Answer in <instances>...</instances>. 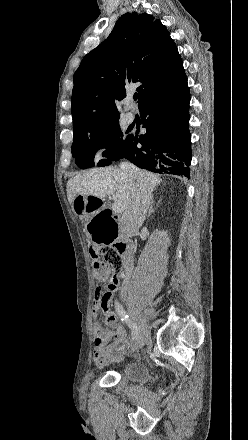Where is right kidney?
<instances>
[{"mask_svg": "<svg viewBox=\"0 0 248 440\" xmlns=\"http://www.w3.org/2000/svg\"><path fill=\"white\" fill-rule=\"evenodd\" d=\"M159 235L161 237H165L166 236V232H159ZM166 242H168V243L170 242L169 238L166 239Z\"/></svg>", "mask_w": 248, "mask_h": 440, "instance_id": "right-kidney-1", "label": "right kidney"}]
</instances>
